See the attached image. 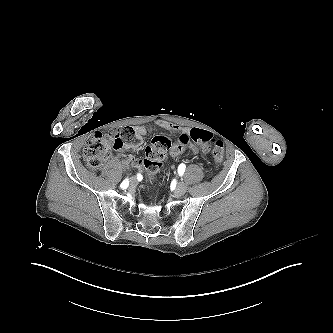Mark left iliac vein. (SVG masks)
<instances>
[{"label":"left iliac vein","instance_id":"obj_1","mask_svg":"<svg viewBox=\"0 0 333 333\" xmlns=\"http://www.w3.org/2000/svg\"><path fill=\"white\" fill-rule=\"evenodd\" d=\"M186 189V185L183 182H180L176 187L175 194L183 195L186 192Z\"/></svg>","mask_w":333,"mask_h":333}]
</instances>
